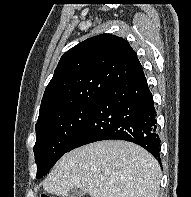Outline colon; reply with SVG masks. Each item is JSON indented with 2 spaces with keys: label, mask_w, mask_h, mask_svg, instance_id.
Returning a JSON list of instances; mask_svg holds the SVG:
<instances>
[{
  "label": "colon",
  "mask_w": 191,
  "mask_h": 197,
  "mask_svg": "<svg viewBox=\"0 0 191 197\" xmlns=\"http://www.w3.org/2000/svg\"><path fill=\"white\" fill-rule=\"evenodd\" d=\"M39 197H50L48 194H41Z\"/></svg>",
  "instance_id": "obj_1"
}]
</instances>
